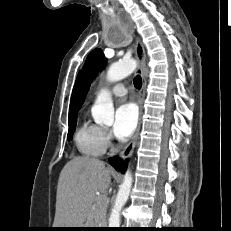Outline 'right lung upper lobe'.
Wrapping results in <instances>:
<instances>
[{
	"instance_id": "1",
	"label": "right lung upper lobe",
	"mask_w": 231,
	"mask_h": 231,
	"mask_svg": "<svg viewBox=\"0 0 231 231\" xmlns=\"http://www.w3.org/2000/svg\"><path fill=\"white\" fill-rule=\"evenodd\" d=\"M79 81V76L77 78L76 84L73 88L72 96H71V101H70V110H69V118L75 117L77 114V107H76V97H77V84Z\"/></svg>"
}]
</instances>
